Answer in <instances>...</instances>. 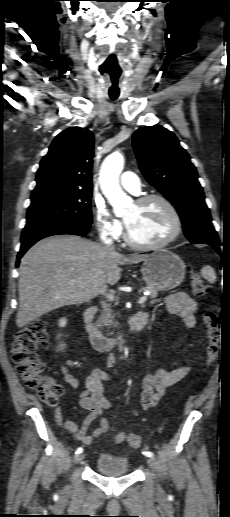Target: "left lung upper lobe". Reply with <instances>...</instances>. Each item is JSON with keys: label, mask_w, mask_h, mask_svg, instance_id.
I'll use <instances>...</instances> for the list:
<instances>
[{"label": "left lung upper lobe", "mask_w": 230, "mask_h": 517, "mask_svg": "<svg viewBox=\"0 0 230 517\" xmlns=\"http://www.w3.org/2000/svg\"><path fill=\"white\" fill-rule=\"evenodd\" d=\"M133 147L143 175L176 207L191 243L217 240L196 168L177 137L159 125L142 127Z\"/></svg>", "instance_id": "5c2ea615"}]
</instances>
